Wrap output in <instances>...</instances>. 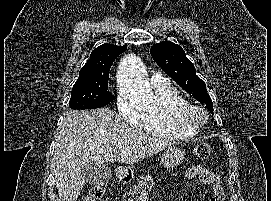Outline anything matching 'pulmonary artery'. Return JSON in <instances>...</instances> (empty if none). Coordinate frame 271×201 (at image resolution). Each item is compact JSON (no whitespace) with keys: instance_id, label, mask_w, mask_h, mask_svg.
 <instances>
[{"instance_id":"obj_1","label":"pulmonary artery","mask_w":271,"mask_h":201,"mask_svg":"<svg viewBox=\"0 0 271 201\" xmlns=\"http://www.w3.org/2000/svg\"><path fill=\"white\" fill-rule=\"evenodd\" d=\"M169 83L170 80L161 74H154L151 77V84L154 87L166 86L169 85Z\"/></svg>"}]
</instances>
